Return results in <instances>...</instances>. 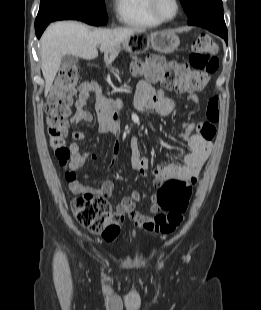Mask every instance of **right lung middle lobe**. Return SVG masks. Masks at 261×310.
I'll return each mask as SVG.
<instances>
[{"label": "right lung middle lobe", "mask_w": 261, "mask_h": 310, "mask_svg": "<svg viewBox=\"0 0 261 310\" xmlns=\"http://www.w3.org/2000/svg\"><path fill=\"white\" fill-rule=\"evenodd\" d=\"M63 19L81 20L94 26L105 25L104 0H41L35 28Z\"/></svg>", "instance_id": "dd1d6c3e"}]
</instances>
